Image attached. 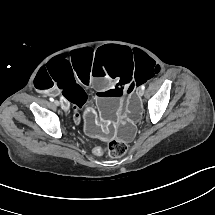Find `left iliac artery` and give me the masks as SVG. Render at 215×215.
Instances as JSON below:
<instances>
[{
  "label": "left iliac artery",
  "instance_id": "1",
  "mask_svg": "<svg viewBox=\"0 0 215 215\" xmlns=\"http://www.w3.org/2000/svg\"><path fill=\"white\" fill-rule=\"evenodd\" d=\"M141 88L144 90V89H145V86H144V85H142V86H141Z\"/></svg>",
  "mask_w": 215,
  "mask_h": 215
}]
</instances>
